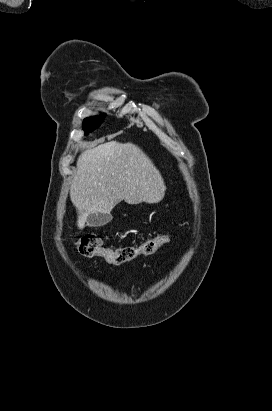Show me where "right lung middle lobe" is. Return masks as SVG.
I'll return each instance as SVG.
<instances>
[{"instance_id": "right-lung-middle-lobe-1", "label": "right lung middle lobe", "mask_w": 272, "mask_h": 411, "mask_svg": "<svg viewBox=\"0 0 272 411\" xmlns=\"http://www.w3.org/2000/svg\"><path fill=\"white\" fill-rule=\"evenodd\" d=\"M103 117H104V114L95 116V117L86 118L83 122V129L85 133L87 134L88 132H91L97 129L103 122Z\"/></svg>"}]
</instances>
